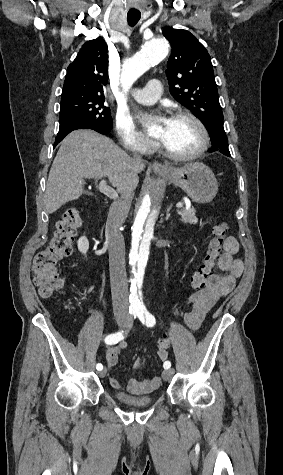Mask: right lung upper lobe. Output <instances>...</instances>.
<instances>
[{
    "instance_id": "obj_1",
    "label": "right lung upper lobe",
    "mask_w": 283,
    "mask_h": 475,
    "mask_svg": "<svg viewBox=\"0 0 283 475\" xmlns=\"http://www.w3.org/2000/svg\"><path fill=\"white\" fill-rule=\"evenodd\" d=\"M107 52L102 37L86 42L67 68L62 95H103L108 82Z\"/></svg>"
}]
</instances>
